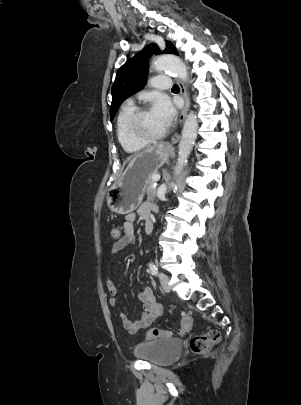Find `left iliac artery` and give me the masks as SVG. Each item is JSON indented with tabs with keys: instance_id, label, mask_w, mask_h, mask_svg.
Listing matches in <instances>:
<instances>
[{
	"instance_id": "left-iliac-artery-1",
	"label": "left iliac artery",
	"mask_w": 301,
	"mask_h": 405,
	"mask_svg": "<svg viewBox=\"0 0 301 405\" xmlns=\"http://www.w3.org/2000/svg\"><path fill=\"white\" fill-rule=\"evenodd\" d=\"M149 266H150L151 273L156 276L158 273V269H157L156 265L153 262H150Z\"/></svg>"
}]
</instances>
